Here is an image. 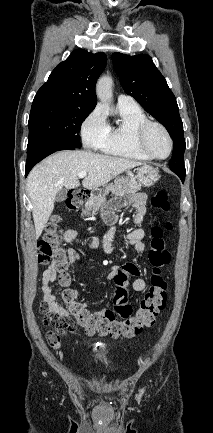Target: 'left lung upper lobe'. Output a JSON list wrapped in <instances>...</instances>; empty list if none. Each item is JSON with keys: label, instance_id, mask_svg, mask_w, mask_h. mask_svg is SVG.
<instances>
[{"label": "left lung upper lobe", "instance_id": "left-lung-upper-lobe-1", "mask_svg": "<svg viewBox=\"0 0 213 433\" xmlns=\"http://www.w3.org/2000/svg\"><path fill=\"white\" fill-rule=\"evenodd\" d=\"M112 62L124 91L167 129L174 142L169 167L174 173L185 175L183 123L165 78L145 54L129 56L116 52L112 54Z\"/></svg>", "mask_w": 213, "mask_h": 433}]
</instances>
